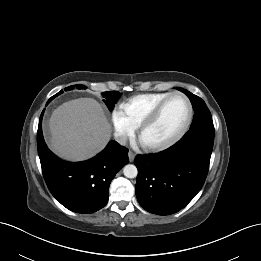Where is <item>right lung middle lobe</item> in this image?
<instances>
[{
    "instance_id": "1",
    "label": "right lung middle lobe",
    "mask_w": 261,
    "mask_h": 261,
    "mask_svg": "<svg viewBox=\"0 0 261 261\" xmlns=\"http://www.w3.org/2000/svg\"><path fill=\"white\" fill-rule=\"evenodd\" d=\"M77 88L78 89H85L86 87L84 85H78ZM71 89H73V86H69L65 90H71ZM62 92L63 91H60L54 96L56 97L59 94H61ZM103 96L105 97V100H104L105 104L107 105V107L111 111L114 108L115 103L120 98L121 94L118 91H109V92H104Z\"/></svg>"
}]
</instances>
